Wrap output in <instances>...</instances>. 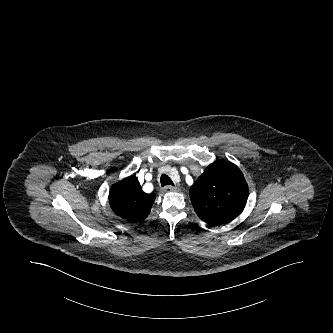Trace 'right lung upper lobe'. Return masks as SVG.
Returning <instances> with one entry per match:
<instances>
[{
  "instance_id": "1",
  "label": "right lung upper lobe",
  "mask_w": 333,
  "mask_h": 333,
  "mask_svg": "<svg viewBox=\"0 0 333 333\" xmlns=\"http://www.w3.org/2000/svg\"><path fill=\"white\" fill-rule=\"evenodd\" d=\"M155 194H146L135 176H129L112 186L109 203L115 214L128 222L145 219L150 213Z\"/></svg>"
}]
</instances>
